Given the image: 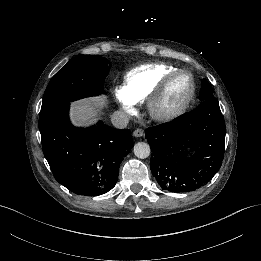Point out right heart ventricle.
Wrapping results in <instances>:
<instances>
[{"instance_id": "e07e8e85", "label": "right heart ventricle", "mask_w": 261, "mask_h": 261, "mask_svg": "<svg viewBox=\"0 0 261 261\" xmlns=\"http://www.w3.org/2000/svg\"><path fill=\"white\" fill-rule=\"evenodd\" d=\"M176 68L165 64H148L130 70L124 79V91L135 103H143Z\"/></svg>"}]
</instances>
